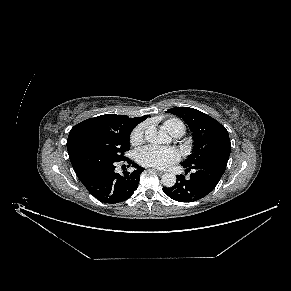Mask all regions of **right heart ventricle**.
<instances>
[{
    "label": "right heart ventricle",
    "instance_id": "right-heart-ventricle-1",
    "mask_svg": "<svg viewBox=\"0 0 291 291\" xmlns=\"http://www.w3.org/2000/svg\"><path fill=\"white\" fill-rule=\"evenodd\" d=\"M163 127L173 135L176 132H185V125L184 123L177 119V118H169L163 122Z\"/></svg>",
    "mask_w": 291,
    "mask_h": 291
}]
</instances>
